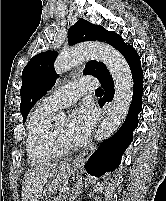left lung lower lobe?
Masks as SVG:
<instances>
[{"instance_id":"1","label":"left lung lower lobe","mask_w":166,"mask_h":201,"mask_svg":"<svg viewBox=\"0 0 166 201\" xmlns=\"http://www.w3.org/2000/svg\"><path fill=\"white\" fill-rule=\"evenodd\" d=\"M131 69L134 89L128 115L121 128L111 138L105 140L85 164L86 171L96 177L104 175L119 167L123 152L133 139V131L138 125V114L142 109L143 72L136 50L128 45L121 53ZM105 90L104 102H110L114 94L113 79L110 74L99 79Z\"/></svg>"}]
</instances>
